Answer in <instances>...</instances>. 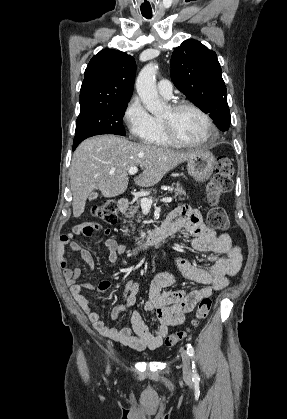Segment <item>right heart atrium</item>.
I'll use <instances>...</instances> for the list:
<instances>
[{
  "mask_svg": "<svg viewBox=\"0 0 287 419\" xmlns=\"http://www.w3.org/2000/svg\"><path fill=\"white\" fill-rule=\"evenodd\" d=\"M123 121L130 135L145 140L154 130V117L148 112L140 98L132 97L123 114Z\"/></svg>",
  "mask_w": 287,
  "mask_h": 419,
  "instance_id": "right-heart-atrium-1",
  "label": "right heart atrium"
}]
</instances>
